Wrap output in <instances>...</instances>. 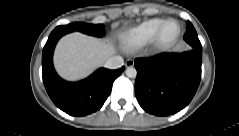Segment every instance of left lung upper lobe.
I'll use <instances>...</instances> for the list:
<instances>
[{
    "instance_id": "left-lung-upper-lobe-1",
    "label": "left lung upper lobe",
    "mask_w": 239,
    "mask_h": 136,
    "mask_svg": "<svg viewBox=\"0 0 239 136\" xmlns=\"http://www.w3.org/2000/svg\"><path fill=\"white\" fill-rule=\"evenodd\" d=\"M184 40L191 46L192 49L202 51L201 43L198 39L197 33L191 22H187L186 33Z\"/></svg>"
}]
</instances>
